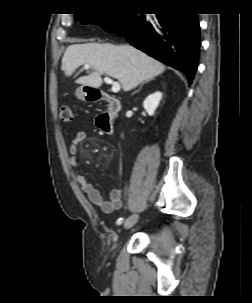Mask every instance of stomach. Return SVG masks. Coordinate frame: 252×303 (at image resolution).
Wrapping results in <instances>:
<instances>
[{
	"label": "stomach",
	"mask_w": 252,
	"mask_h": 303,
	"mask_svg": "<svg viewBox=\"0 0 252 303\" xmlns=\"http://www.w3.org/2000/svg\"><path fill=\"white\" fill-rule=\"evenodd\" d=\"M87 88L86 86H82V87H79L75 94L77 96V98L81 99V100H86L88 94H87Z\"/></svg>",
	"instance_id": "0dacf381"
}]
</instances>
